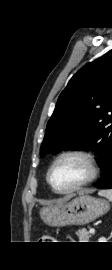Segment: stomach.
Segmentation results:
<instances>
[{"label":"stomach","mask_w":112,"mask_h":270,"mask_svg":"<svg viewBox=\"0 0 112 270\" xmlns=\"http://www.w3.org/2000/svg\"><path fill=\"white\" fill-rule=\"evenodd\" d=\"M107 201L81 195L68 203L51 204L40 209V217L49 226L86 225L107 213Z\"/></svg>","instance_id":"1"}]
</instances>
